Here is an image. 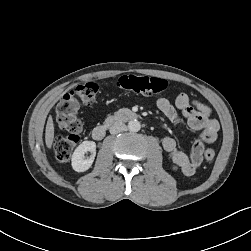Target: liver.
Returning <instances> with one entry per match:
<instances>
[{
	"instance_id": "6515ba94",
	"label": "liver",
	"mask_w": 251,
	"mask_h": 251,
	"mask_svg": "<svg viewBox=\"0 0 251 251\" xmlns=\"http://www.w3.org/2000/svg\"><path fill=\"white\" fill-rule=\"evenodd\" d=\"M53 139H54V123L52 116H49L45 130V143L48 149H51Z\"/></svg>"
}]
</instances>
